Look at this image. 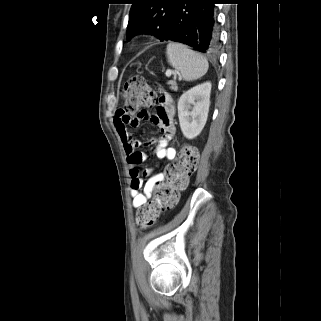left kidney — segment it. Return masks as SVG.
I'll return each mask as SVG.
<instances>
[{
    "label": "left kidney",
    "instance_id": "obj_1",
    "mask_svg": "<svg viewBox=\"0 0 321 321\" xmlns=\"http://www.w3.org/2000/svg\"><path fill=\"white\" fill-rule=\"evenodd\" d=\"M211 87V82L197 85L183 93L178 101L180 128L187 139L197 137L206 124Z\"/></svg>",
    "mask_w": 321,
    "mask_h": 321
}]
</instances>
